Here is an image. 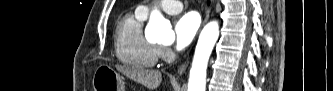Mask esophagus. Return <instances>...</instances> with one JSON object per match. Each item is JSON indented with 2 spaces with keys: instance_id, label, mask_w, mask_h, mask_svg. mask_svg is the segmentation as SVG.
I'll list each match as a JSON object with an SVG mask.
<instances>
[{
  "instance_id": "1",
  "label": "esophagus",
  "mask_w": 333,
  "mask_h": 91,
  "mask_svg": "<svg viewBox=\"0 0 333 91\" xmlns=\"http://www.w3.org/2000/svg\"><path fill=\"white\" fill-rule=\"evenodd\" d=\"M209 13H210V12L208 11L207 14H206V17H205L203 23H205V22L208 21V19H209ZM186 67H187V62L183 63V64L179 67V69H178V71H177L178 74H179V75L183 74V73L185 72V70H186Z\"/></svg>"
}]
</instances>
